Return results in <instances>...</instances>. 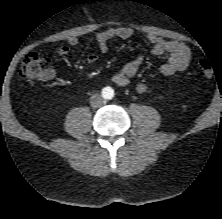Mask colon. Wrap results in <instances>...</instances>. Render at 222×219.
<instances>
[{
	"label": "colon",
	"mask_w": 222,
	"mask_h": 219,
	"mask_svg": "<svg viewBox=\"0 0 222 219\" xmlns=\"http://www.w3.org/2000/svg\"><path fill=\"white\" fill-rule=\"evenodd\" d=\"M200 70L204 77L213 76V66L207 60L200 62ZM51 73L52 68L48 59L37 53L26 55L19 69L20 76L26 80H47L51 77Z\"/></svg>",
	"instance_id": "5ec220e1"
}]
</instances>
